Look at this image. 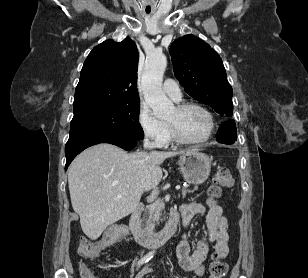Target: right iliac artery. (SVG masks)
<instances>
[{
    "label": "right iliac artery",
    "instance_id": "82829eb1",
    "mask_svg": "<svg viewBox=\"0 0 308 278\" xmlns=\"http://www.w3.org/2000/svg\"><path fill=\"white\" fill-rule=\"evenodd\" d=\"M154 255V251L149 252L147 255H145L143 258H141L138 263L137 266H141L142 264L148 262Z\"/></svg>",
    "mask_w": 308,
    "mask_h": 278
}]
</instances>
